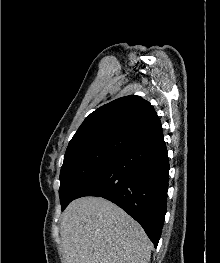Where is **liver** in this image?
<instances>
[{"label": "liver", "mask_w": 220, "mask_h": 263, "mask_svg": "<svg viewBox=\"0 0 220 263\" xmlns=\"http://www.w3.org/2000/svg\"><path fill=\"white\" fill-rule=\"evenodd\" d=\"M64 263H148L152 243L124 210L101 197L73 200L61 216Z\"/></svg>", "instance_id": "6515ba94"}]
</instances>
